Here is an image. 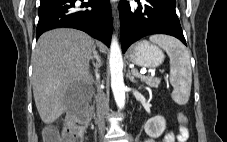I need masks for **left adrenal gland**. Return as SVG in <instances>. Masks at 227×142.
Instances as JSON below:
<instances>
[{
	"label": "left adrenal gland",
	"instance_id": "a2214340",
	"mask_svg": "<svg viewBox=\"0 0 227 142\" xmlns=\"http://www.w3.org/2000/svg\"><path fill=\"white\" fill-rule=\"evenodd\" d=\"M128 77H129V79H130L131 82L137 83V81L134 79V76L131 75L130 71L128 73Z\"/></svg>",
	"mask_w": 227,
	"mask_h": 142
}]
</instances>
